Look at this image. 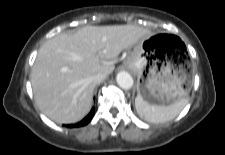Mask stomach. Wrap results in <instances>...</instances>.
Returning <instances> with one entry per match:
<instances>
[{"label":"stomach","mask_w":225,"mask_h":155,"mask_svg":"<svg viewBox=\"0 0 225 155\" xmlns=\"http://www.w3.org/2000/svg\"><path fill=\"white\" fill-rule=\"evenodd\" d=\"M165 36L153 33L133 47L125 66L137 75V96L152 105H166L188 96L191 77L182 62L161 50Z\"/></svg>","instance_id":"obj_1"}]
</instances>
